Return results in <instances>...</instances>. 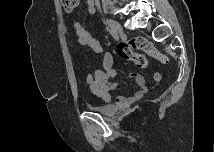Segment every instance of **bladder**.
Returning a JSON list of instances; mask_svg holds the SVG:
<instances>
[{
  "mask_svg": "<svg viewBox=\"0 0 215 152\" xmlns=\"http://www.w3.org/2000/svg\"><path fill=\"white\" fill-rule=\"evenodd\" d=\"M90 109L103 114V115H109L115 112L116 106L113 104H90Z\"/></svg>",
  "mask_w": 215,
  "mask_h": 152,
  "instance_id": "obj_1",
  "label": "bladder"
}]
</instances>
